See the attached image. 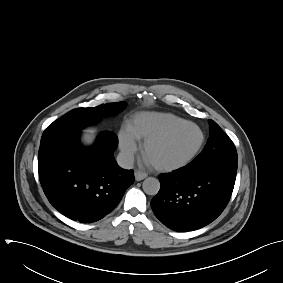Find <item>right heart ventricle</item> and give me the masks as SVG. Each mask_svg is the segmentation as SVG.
<instances>
[{
  "instance_id": "1",
  "label": "right heart ventricle",
  "mask_w": 283,
  "mask_h": 283,
  "mask_svg": "<svg viewBox=\"0 0 283 283\" xmlns=\"http://www.w3.org/2000/svg\"><path fill=\"white\" fill-rule=\"evenodd\" d=\"M184 119L165 112H140L130 117L125 131L134 141H144Z\"/></svg>"
}]
</instances>
